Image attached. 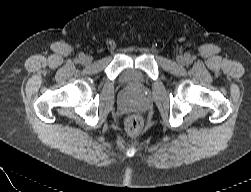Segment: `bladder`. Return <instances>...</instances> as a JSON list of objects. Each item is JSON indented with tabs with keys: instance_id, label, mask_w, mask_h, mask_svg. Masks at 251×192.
Returning <instances> with one entry per match:
<instances>
[{
	"instance_id": "bladder-1",
	"label": "bladder",
	"mask_w": 251,
	"mask_h": 192,
	"mask_svg": "<svg viewBox=\"0 0 251 192\" xmlns=\"http://www.w3.org/2000/svg\"><path fill=\"white\" fill-rule=\"evenodd\" d=\"M120 79L124 84L131 85L139 83L142 80V76L136 69H127L122 73Z\"/></svg>"
}]
</instances>
